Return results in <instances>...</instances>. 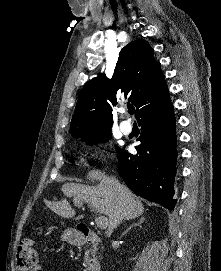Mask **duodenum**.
I'll use <instances>...</instances> for the list:
<instances>
[{"label": "duodenum", "mask_w": 221, "mask_h": 271, "mask_svg": "<svg viewBox=\"0 0 221 271\" xmlns=\"http://www.w3.org/2000/svg\"><path fill=\"white\" fill-rule=\"evenodd\" d=\"M70 242L74 245H98L100 243V239L94 231L82 229L78 230L74 235L70 237ZM84 271H101V266L99 263L94 262L89 264Z\"/></svg>", "instance_id": "410a0bca"}]
</instances>
